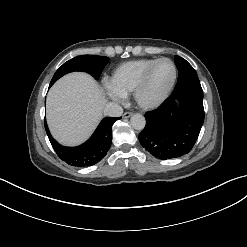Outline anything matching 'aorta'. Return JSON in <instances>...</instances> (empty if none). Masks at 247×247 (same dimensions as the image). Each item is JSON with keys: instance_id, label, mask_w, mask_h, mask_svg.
Returning <instances> with one entry per match:
<instances>
[{"instance_id": "1", "label": "aorta", "mask_w": 247, "mask_h": 247, "mask_svg": "<svg viewBox=\"0 0 247 247\" xmlns=\"http://www.w3.org/2000/svg\"><path fill=\"white\" fill-rule=\"evenodd\" d=\"M130 122H131V126L135 130H142L146 124V120H145L144 116L141 114H134L131 117Z\"/></svg>"}]
</instances>
